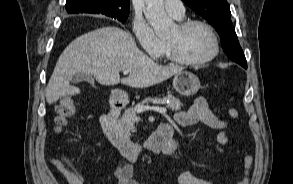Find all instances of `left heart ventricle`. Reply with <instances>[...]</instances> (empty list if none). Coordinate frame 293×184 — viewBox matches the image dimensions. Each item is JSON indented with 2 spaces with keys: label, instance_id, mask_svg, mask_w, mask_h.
Instances as JSON below:
<instances>
[{
  "label": "left heart ventricle",
  "instance_id": "left-heart-ventricle-1",
  "mask_svg": "<svg viewBox=\"0 0 293 184\" xmlns=\"http://www.w3.org/2000/svg\"><path fill=\"white\" fill-rule=\"evenodd\" d=\"M174 43L179 53L190 60H198L209 55L213 50V40L210 33L201 26H195L186 32H180L176 27L167 38Z\"/></svg>",
  "mask_w": 293,
  "mask_h": 184
}]
</instances>
